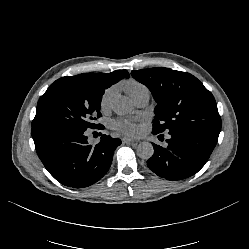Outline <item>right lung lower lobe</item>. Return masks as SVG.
<instances>
[{
    "mask_svg": "<svg viewBox=\"0 0 249 249\" xmlns=\"http://www.w3.org/2000/svg\"><path fill=\"white\" fill-rule=\"evenodd\" d=\"M93 129H104L98 124ZM69 126H36L31 133L36 152L48 172L60 183L74 188L87 187L108 171L114 150L121 144L101 134L96 145H90L86 131Z\"/></svg>",
    "mask_w": 249,
    "mask_h": 249,
    "instance_id": "obj_1",
    "label": "right lung lower lobe"
}]
</instances>
